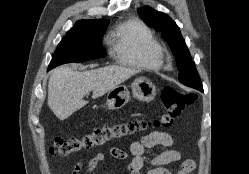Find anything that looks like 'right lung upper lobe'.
Instances as JSON below:
<instances>
[{"label": "right lung upper lobe", "mask_w": 249, "mask_h": 174, "mask_svg": "<svg viewBox=\"0 0 249 174\" xmlns=\"http://www.w3.org/2000/svg\"><path fill=\"white\" fill-rule=\"evenodd\" d=\"M104 22H108L107 20H104V19H98V20H80L78 21L74 27L68 31V32H71V31H75V30H78V29H81V28H84V27H87L91 24H94V23H104Z\"/></svg>", "instance_id": "cb5924a9"}]
</instances>
